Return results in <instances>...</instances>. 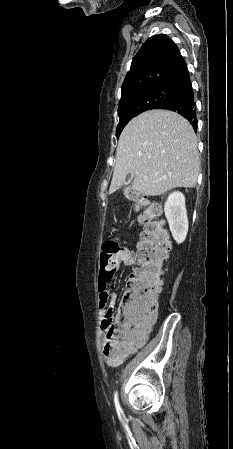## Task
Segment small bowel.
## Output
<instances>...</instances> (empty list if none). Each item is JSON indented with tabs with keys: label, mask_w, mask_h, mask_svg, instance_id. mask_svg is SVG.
Returning a JSON list of instances; mask_svg holds the SVG:
<instances>
[{
	"label": "small bowel",
	"mask_w": 233,
	"mask_h": 449,
	"mask_svg": "<svg viewBox=\"0 0 233 449\" xmlns=\"http://www.w3.org/2000/svg\"><path fill=\"white\" fill-rule=\"evenodd\" d=\"M120 263L126 265V266H133L136 264V257L135 255L129 251V256H122L118 265L108 272V277L111 280L112 276L115 274L116 270L120 266ZM116 301V294L112 292L109 288H107L106 292H99V307L100 309L106 314L108 311V307H111ZM156 317L150 318L147 322H145L141 328L137 331L136 337L134 338L133 342L128 345L127 351L125 355H129L134 353L138 348L143 346V344L146 342L148 335L150 333L151 327L153 322L155 321ZM100 332L102 335V339L105 340V334H106V328L103 324L100 328ZM116 344V343H115Z\"/></svg>",
	"instance_id": "1"
}]
</instances>
